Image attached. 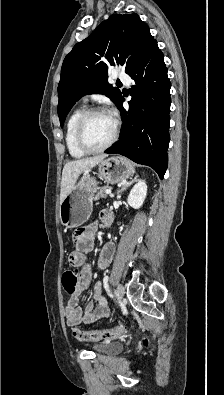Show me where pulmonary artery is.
Listing matches in <instances>:
<instances>
[{"label":"pulmonary artery","mask_w":224,"mask_h":395,"mask_svg":"<svg viewBox=\"0 0 224 395\" xmlns=\"http://www.w3.org/2000/svg\"><path fill=\"white\" fill-rule=\"evenodd\" d=\"M119 79L124 82L125 84L130 83V77L127 75L125 72H120L119 73ZM86 99V98H85Z\"/></svg>","instance_id":"e3ab8cb5"}]
</instances>
